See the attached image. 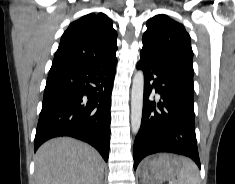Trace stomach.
Listing matches in <instances>:
<instances>
[{
    "instance_id": "obj_1",
    "label": "stomach",
    "mask_w": 235,
    "mask_h": 184,
    "mask_svg": "<svg viewBox=\"0 0 235 184\" xmlns=\"http://www.w3.org/2000/svg\"><path fill=\"white\" fill-rule=\"evenodd\" d=\"M181 168V156H176V154H158L149 162L141 164L139 176L145 184H162L166 180H173Z\"/></svg>"
}]
</instances>
